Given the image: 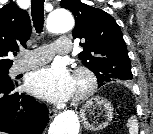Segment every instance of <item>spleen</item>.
Instances as JSON below:
<instances>
[{
	"mask_svg": "<svg viewBox=\"0 0 153 134\" xmlns=\"http://www.w3.org/2000/svg\"><path fill=\"white\" fill-rule=\"evenodd\" d=\"M127 126L129 128V134H138V123L134 117L128 120Z\"/></svg>",
	"mask_w": 153,
	"mask_h": 134,
	"instance_id": "3e777b00",
	"label": "spleen"
}]
</instances>
